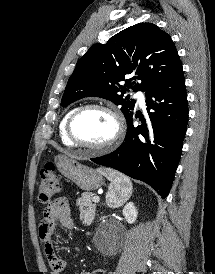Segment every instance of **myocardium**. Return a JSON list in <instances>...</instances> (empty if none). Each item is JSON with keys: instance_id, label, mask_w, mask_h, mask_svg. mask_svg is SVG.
Listing matches in <instances>:
<instances>
[{"instance_id": "f54148a6", "label": "myocardium", "mask_w": 215, "mask_h": 274, "mask_svg": "<svg viewBox=\"0 0 215 274\" xmlns=\"http://www.w3.org/2000/svg\"><path fill=\"white\" fill-rule=\"evenodd\" d=\"M89 109H99V110L105 111L112 116L115 122V132L113 136L108 141L99 145H91V144L84 143L81 140H79L74 133L73 127H74L75 120L82 112ZM66 133L68 138L74 143V145L82 147L84 149L94 151V152H104L109 150L113 146H115L120 141V139L122 138L124 134V122L120 112L116 108L103 103H88V104H84L77 107L71 113V115L69 116L67 120Z\"/></svg>"}]
</instances>
